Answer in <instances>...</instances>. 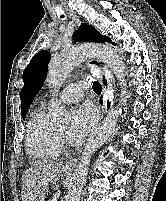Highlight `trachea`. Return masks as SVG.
<instances>
[{
	"label": "trachea",
	"mask_w": 166,
	"mask_h": 201,
	"mask_svg": "<svg viewBox=\"0 0 166 201\" xmlns=\"http://www.w3.org/2000/svg\"><path fill=\"white\" fill-rule=\"evenodd\" d=\"M93 89H94L95 93L100 94L101 90H102V86L100 83L95 81V82H93Z\"/></svg>",
	"instance_id": "trachea-1"
}]
</instances>
